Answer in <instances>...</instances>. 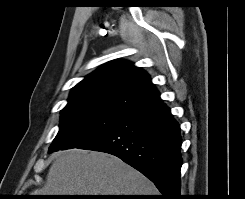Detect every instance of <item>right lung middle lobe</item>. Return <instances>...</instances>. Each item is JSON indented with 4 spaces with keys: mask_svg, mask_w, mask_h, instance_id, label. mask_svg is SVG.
I'll list each match as a JSON object with an SVG mask.
<instances>
[{
    "mask_svg": "<svg viewBox=\"0 0 245 199\" xmlns=\"http://www.w3.org/2000/svg\"><path fill=\"white\" fill-rule=\"evenodd\" d=\"M127 116L96 106L64 108L61 112L59 132L49 151L80 147L109 131Z\"/></svg>",
    "mask_w": 245,
    "mask_h": 199,
    "instance_id": "1",
    "label": "right lung middle lobe"
}]
</instances>
